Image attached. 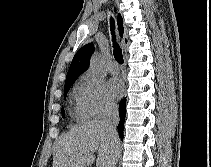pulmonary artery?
<instances>
[{"mask_svg": "<svg viewBox=\"0 0 211 167\" xmlns=\"http://www.w3.org/2000/svg\"><path fill=\"white\" fill-rule=\"evenodd\" d=\"M120 71L119 66L117 65V63H112L109 67V72L113 75L118 74Z\"/></svg>", "mask_w": 211, "mask_h": 167, "instance_id": "1", "label": "pulmonary artery"}]
</instances>
